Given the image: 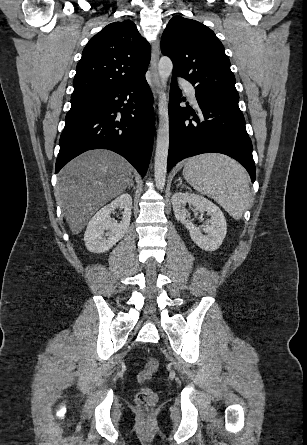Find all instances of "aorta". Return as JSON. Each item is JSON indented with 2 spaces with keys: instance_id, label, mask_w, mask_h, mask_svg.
I'll use <instances>...</instances> for the list:
<instances>
[{
  "instance_id": "obj_1",
  "label": "aorta",
  "mask_w": 307,
  "mask_h": 445,
  "mask_svg": "<svg viewBox=\"0 0 307 445\" xmlns=\"http://www.w3.org/2000/svg\"><path fill=\"white\" fill-rule=\"evenodd\" d=\"M173 62L169 56H161L158 62V74L161 82L159 96V126L157 130L154 176L157 188H163L166 182L167 156L169 148L168 98L165 92L166 82L172 72Z\"/></svg>"
}]
</instances>
